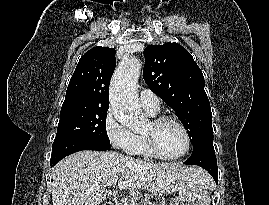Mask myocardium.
I'll return each instance as SVG.
<instances>
[{
    "mask_svg": "<svg viewBox=\"0 0 269 205\" xmlns=\"http://www.w3.org/2000/svg\"><path fill=\"white\" fill-rule=\"evenodd\" d=\"M170 122L177 125L184 133L186 138L185 150L176 156H167L160 152L156 144L155 131L163 124ZM152 131L150 133H142V139L147 153L157 159L165 161H175L185 157L192 148V138L188 128L176 117L171 115H159L155 117L151 122Z\"/></svg>",
    "mask_w": 269,
    "mask_h": 205,
    "instance_id": "f54148a6",
    "label": "myocardium"
}]
</instances>
